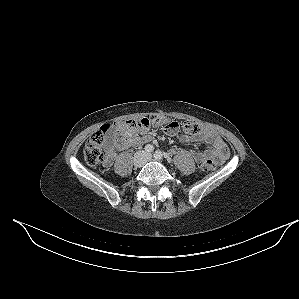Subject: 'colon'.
Returning <instances> with one entry per match:
<instances>
[{
  "mask_svg": "<svg viewBox=\"0 0 299 299\" xmlns=\"http://www.w3.org/2000/svg\"><path fill=\"white\" fill-rule=\"evenodd\" d=\"M128 125L137 129H149L151 127L162 129L168 132H177L179 129V123L166 116H150L138 120L127 121ZM117 124L107 123L101 126L95 131L83 150V157L89 166H96L104 162L103 145L107 136L116 129ZM201 126L192 120H188L183 124V130L189 135H196L201 131ZM201 168L204 171H211L215 168V164L211 161H206L201 164Z\"/></svg>",
  "mask_w": 299,
  "mask_h": 299,
  "instance_id": "colon-1",
  "label": "colon"
}]
</instances>
